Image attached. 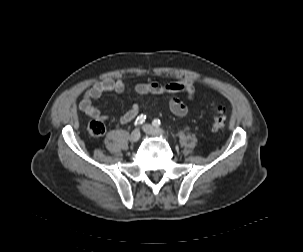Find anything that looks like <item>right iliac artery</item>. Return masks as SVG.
Returning <instances> with one entry per match:
<instances>
[{
    "label": "right iliac artery",
    "instance_id": "right-iliac-artery-1",
    "mask_svg": "<svg viewBox=\"0 0 303 252\" xmlns=\"http://www.w3.org/2000/svg\"><path fill=\"white\" fill-rule=\"evenodd\" d=\"M145 119H146V116L143 115V114H141V115L138 116L137 119L135 120L134 125H135V126L141 125V124L145 121Z\"/></svg>",
    "mask_w": 303,
    "mask_h": 252
}]
</instances>
